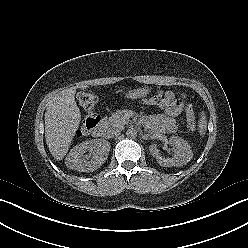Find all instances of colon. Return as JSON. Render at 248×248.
<instances>
[{
    "label": "colon",
    "instance_id": "obj_1",
    "mask_svg": "<svg viewBox=\"0 0 248 248\" xmlns=\"http://www.w3.org/2000/svg\"><path fill=\"white\" fill-rule=\"evenodd\" d=\"M167 99L165 94H156L151 100L154 105H161ZM80 105L86 111V117L82 126L77 131L79 136L87 135L91 132L100 120V116L97 114V96L92 92H82L78 96ZM186 117L190 129L195 128V118L192 107L190 104H186Z\"/></svg>",
    "mask_w": 248,
    "mask_h": 248
}]
</instances>
